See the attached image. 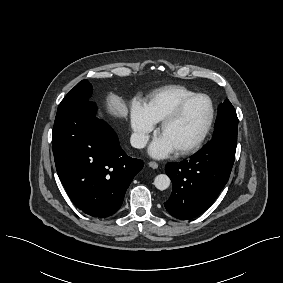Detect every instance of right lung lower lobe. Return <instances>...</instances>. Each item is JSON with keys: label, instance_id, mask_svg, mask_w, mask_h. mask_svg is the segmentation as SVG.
<instances>
[{"label": "right lung lower lobe", "instance_id": "98d812e1", "mask_svg": "<svg viewBox=\"0 0 283 283\" xmlns=\"http://www.w3.org/2000/svg\"><path fill=\"white\" fill-rule=\"evenodd\" d=\"M95 111L90 100L57 111L52 147L58 176L73 203L88 215L107 217L120 208L143 161L127 156Z\"/></svg>", "mask_w": 283, "mask_h": 283}]
</instances>
